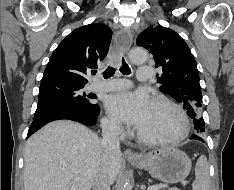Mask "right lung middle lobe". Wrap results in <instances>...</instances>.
Returning a JSON list of instances; mask_svg holds the SVG:
<instances>
[{
  "label": "right lung middle lobe",
  "instance_id": "right-lung-middle-lobe-1",
  "mask_svg": "<svg viewBox=\"0 0 234 190\" xmlns=\"http://www.w3.org/2000/svg\"><path fill=\"white\" fill-rule=\"evenodd\" d=\"M83 87L84 85L59 80L41 83L36 112L57 104L69 105L90 112L98 109V105L92 101L96 99V96L83 92Z\"/></svg>",
  "mask_w": 234,
  "mask_h": 190
}]
</instances>
